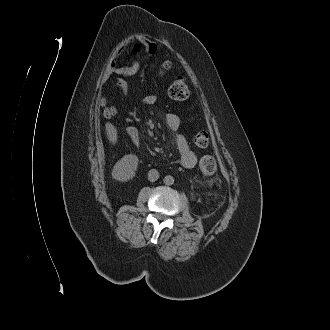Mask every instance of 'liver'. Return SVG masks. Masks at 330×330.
<instances>
[{
	"label": "liver",
	"instance_id": "6515ba94",
	"mask_svg": "<svg viewBox=\"0 0 330 330\" xmlns=\"http://www.w3.org/2000/svg\"><path fill=\"white\" fill-rule=\"evenodd\" d=\"M105 129L107 132L108 139L112 142L115 143L117 141V130L114 125L111 123H106Z\"/></svg>",
	"mask_w": 330,
	"mask_h": 330
}]
</instances>
